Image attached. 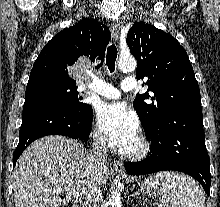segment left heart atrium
I'll use <instances>...</instances> for the list:
<instances>
[{
  "label": "left heart atrium",
  "mask_w": 220,
  "mask_h": 207,
  "mask_svg": "<svg viewBox=\"0 0 220 207\" xmlns=\"http://www.w3.org/2000/svg\"><path fill=\"white\" fill-rule=\"evenodd\" d=\"M97 121L103 133L120 148L137 137L138 119L122 103H104L99 106Z\"/></svg>",
  "instance_id": "1"
}]
</instances>
